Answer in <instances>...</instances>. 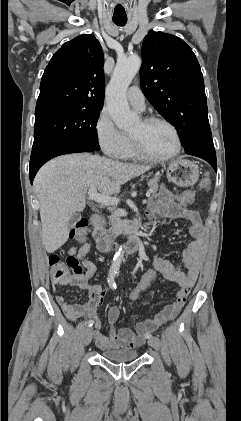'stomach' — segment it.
Segmentation results:
<instances>
[{
	"mask_svg": "<svg viewBox=\"0 0 241 421\" xmlns=\"http://www.w3.org/2000/svg\"><path fill=\"white\" fill-rule=\"evenodd\" d=\"M167 178L179 186L194 185L199 178L198 166L186 159L170 162L166 168Z\"/></svg>",
	"mask_w": 241,
	"mask_h": 421,
	"instance_id": "obj_1",
	"label": "stomach"
}]
</instances>
